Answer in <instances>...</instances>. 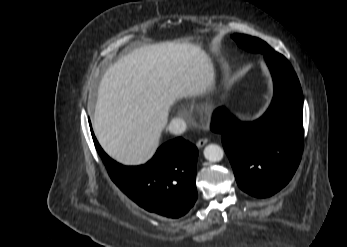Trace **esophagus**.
Instances as JSON below:
<instances>
[{
  "label": "esophagus",
  "mask_w": 347,
  "mask_h": 247,
  "mask_svg": "<svg viewBox=\"0 0 347 247\" xmlns=\"http://www.w3.org/2000/svg\"><path fill=\"white\" fill-rule=\"evenodd\" d=\"M207 142H208V139H206V138L199 139L196 143V146L198 148H202L203 146H205L207 144Z\"/></svg>",
  "instance_id": "34e87169"
}]
</instances>
